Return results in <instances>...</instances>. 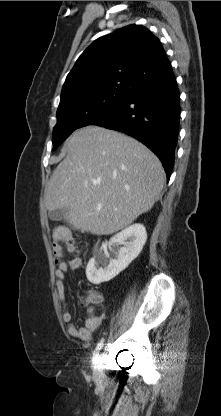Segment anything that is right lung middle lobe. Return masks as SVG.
<instances>
[{"label": "right lung middle lobe", "instance_id": "obj_1", "mask_svg": "<svg viewBox=\"0 0 221 416\" xmlns=\"http://www.w3.org/2000/svg\"><path fill=\"white\" fill-rule=\"evenodd\" d=\"M131 89L108 88L65 102L58 107L53 130L55 150L74 130L108 117L129 95Z\"/></svg>", "mask_w": 221, "mask_h": 416}]
</instances>
